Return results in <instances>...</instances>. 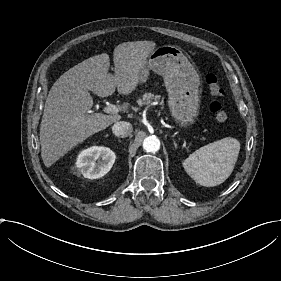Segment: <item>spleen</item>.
I'll return each instance as SVG.
<instances>
[{"label": "spleen", "mask_w": 281, "mask_h": 281, "mask_svg": "<svg viewBox=\"0 0 281 281\" xmlns=\"http://www.w3.org/2000/svg\"><path fill=\"white\" fill-rule=\"evenodd\" d=\"M240 142L232 137L210 143L191 154L184 162L185 170L199 184L214 187L232 174L240 153Z\"/></svg>", "instance_id": "spleen-1"}]
</instances>
